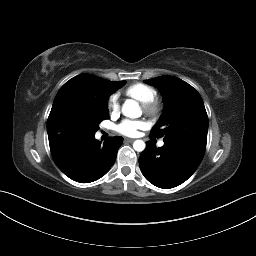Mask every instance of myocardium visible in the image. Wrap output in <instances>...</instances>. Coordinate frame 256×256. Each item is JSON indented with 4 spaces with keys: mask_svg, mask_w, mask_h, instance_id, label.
<instances>
[{
    "mask_svg": "<svg viewBox=\"0 0 256 256\" xmlns=\"http://www.w3.org/2000/svg\"><path fill=\"white\" fill-rule=\"evenodd\" d=\"M142 105L145 113L152 117L159 115L162 110L161 103L156 98Z\"/></svg>",
    "mask_w": 256,
    "mask_h": 256,
    "instance_id": "f54148a6",
    "label": "myocardium"
}]
</instances>
